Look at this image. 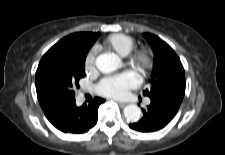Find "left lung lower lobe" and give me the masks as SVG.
I'll return each mask as SVG.
<instances>
[{
    "label": "left lung lower lobe",
    "instance_id": "obj_1",
    "mask_svg": "<svg viewBox=\"0 0 225 155\" xmlns=\"http://www.w3.org/2000/svg\"><path fill=\"white\" fill-rule=\"evenodd\" d=\"M182 101L177 99H151L150 105L143 109L141 120L129 124L139 132H155L164 128L176 115Z\"/></svg>",
    "mask_w": 225,
    "mask_h": 155
}]
</instances>
